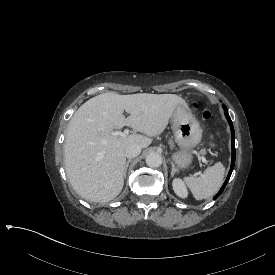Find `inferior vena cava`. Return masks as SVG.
<instances>
[{
  "instance_id": "602c4592",
  "label": "inferior vena cava",
  "mask_w": 275,
  "mask_h": 275,
  "mask_svg": "<svg viewBox=\"0 0 275 275\" xmlns=\"http://www.w3.org/2000/svg\"><path fill=\"white\" fill-rule=\"evenodd\" d=\"M141 152V146L136 143L128 144L124 149V155L127 158H134Z\"/></svg>"
}]
</instances>
